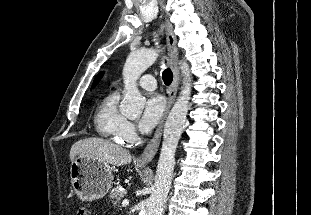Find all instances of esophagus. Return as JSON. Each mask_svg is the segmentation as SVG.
I'll use <instances>...</instances> for the list:
<instances>
[{
	"mask_svg": "<svg viewBox=\"0 0 311 215\" xmlns=\"http://www.w3.org/2000/svg\"><path fill=\"white\" fill-rule=\"evenodd\" d=\"M166 42L168 48V58H169V65L173 72V81L169 91V98H168V106L167 110L160 121L157 130L151 140L148 142L147 146L145 147L143 153L137 158L136 163L141 166L148 165L154 158L159 144L161 140L162 130L164 126V121L167 117L168 111L171 108L172 104L174 103L178 84H179V68H178V49H177V39L173 32V27L170 23H166Z\"/></svg>",
	"mask_w": 311,
	"mask_h": 215,
	"instance_id": "esophagus-1",
	"label": "esophagus"
}]
</instances>
